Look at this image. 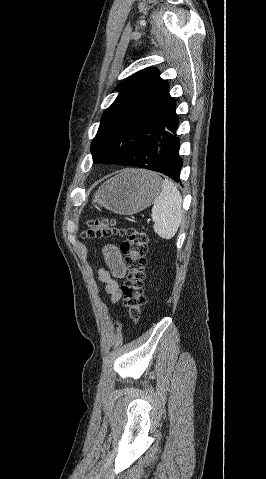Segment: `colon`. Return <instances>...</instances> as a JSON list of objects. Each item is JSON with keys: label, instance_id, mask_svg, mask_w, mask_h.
<instances>
[{"label": "colon", "instance_id": "obj_1", "mask_svg": "<svg viewBox=\"0 0 266 479\" xmlns=\"http://www.w3.org/2000/svg\"><path fill=\"white\" fill-rule=\"evenodd\" d=\"M83 231L84 238H106L114 235H124L121 251L125 256L127 277L124 280L121 293L127 315L132 320L139 319L146 298L144 293L145 267L148 236L139 228H121L113 219L96 218L87 221Z\"/></svg>", "mask_w": 266, "mask_h": 479}]
</instances>
